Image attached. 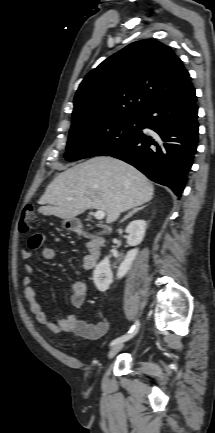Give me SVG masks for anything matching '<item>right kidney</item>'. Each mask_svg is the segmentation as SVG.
Here are the masks:
<instances>
[{
    "mask_svg": "<svg viewBox=\"0 0 215 433\" xmlns=\"http://www.w3.org/2000/svg\"><path fill=\"white\" fill-rule=\"evenodd\" d=\"M147 223L144 220H134L126 228L125 232L128 234L127 243L130 246L139 245L146 231ZM138 254V248L131 249L125 256L124 261L120 264L117 271V278L124 277L131 268L133 261ZM93 280L97 289L105 292L113 282V274L111 272L109 257H105L95 268L93 273Z\"/></svg>",
    "mask_w": 215,
    "mask_h": 433,
    "instance_id": "1",
    "label": "right kidney"
}]
</instances>
